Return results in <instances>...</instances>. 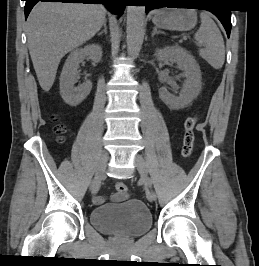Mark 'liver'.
<instances>
[{"mask_svg":"<svg viewBox=\"0 0 259 266\" xmlns=\"http://www.w3.org/2000/svg\"><path fill=\"white\" fill-rule=\"evenodd\" d=\"M105 17L106 9L96 4L39 2L34 6L27 19V43L44 91L51 89L64 55L91 39Z\"/></svg>","mask_w":259,"mask_h":266,"instance_id":"liver-1","label":"liver"}]
</instances>
